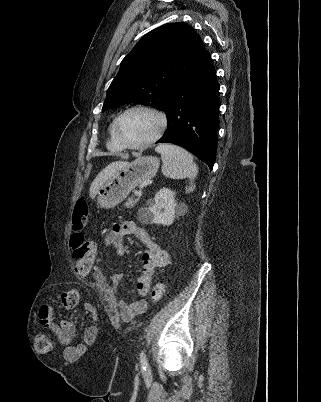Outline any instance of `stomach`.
<instances>
[{
  "instance_id": "obj_1",
  "label": "stomach",
  "mask_w": 321,
  "mask_h": 402,
  "mask_svg": "<svg viewBox=\"0 0 321 402\" xmlns=\"http://www.w3.org/2000/svg\"><path fill=\"white\" fill-rule=\"evenodd\" d=\"M160 160L155 156L138 157L112 174L98 189L95 196L101 208H113L121 203L135 187L153 178Z\"/></svg>"
}]
</instances>
